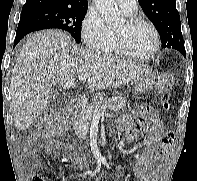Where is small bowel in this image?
Returning a JSON list of instances; mask_svg holds the SVG:
<instances>
[{
	"instance_id": "small-bowel-1",
	"label": "small bowel",
	"mask_w": 197,
	"mask_h": 181,
	"mask_svg": "<svg viewBox=\"0 0 197 181\" xmlns=\"http://www.w3.org/2000/svg\"><path fill=\"white\" fill-rule=\"evenodd\" d=\"M147 122L150 124L149 133L144 140L139 156L132 164L131 170L137 181H162L163 160L172 148L173 136L169 133H163V123L158 118L157 111L150 106L141 105L130 116H122L118 121V127L125 131L127 139L131 141ZM31 138L35 139V135H32ZM44 147L51 153H55L57 149L72 150L70 144L54 140L47 141ZM31 160L35 167L37 161L35 154H31ZM72 161L79 168L89 165L88 160L81 156L74 157ZM34 181H42V179L37 176Z\"/></svg>"
}]
</instances>
